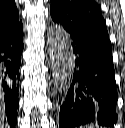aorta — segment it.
Returning a JSON list of instances; mask_svg holds the SVG:
<instances>
[{
	"mask_svg": "<svg viewBox=\"0 0 125 128\" xmlns=\"http://www.w3.org/2000/svg\"><path fill=\"white\" fill-rule=\"evenodd\" d=\"M47 47L54 83L60 93H65L71 85L75 56L70 36L62 26L54 25L48 29Z\"/></svg>",
	"mask_w": 125,
	"mask_h": 128,
	"instance_id": "aorta-1",
	"label": "aorta"
}]
</instances>
